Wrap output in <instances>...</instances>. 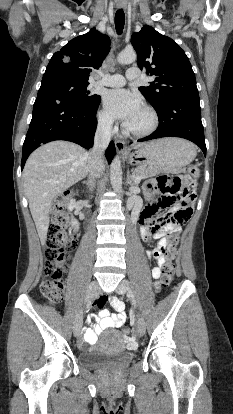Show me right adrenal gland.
Wrapping results in <instances>:
<instances>
[{
	"mask_svg": "<svg viewBox=\"0 0 233 414\" xmlns=\"http://www.w3.org/2000/svg\"><path fill=\"white\" fill-rule=\"evenodd\" d=\"M83 184H85L87 188L91 191L94 190L96 186L95 179L92 177H89L88 180L83 181Z\"/></svg>",
	"mask_w": 233,
	"mask_h": 414,
	"instance_id": "2a0ac1e0",
	"label": "right adrenal gland"
}]
</instances>
